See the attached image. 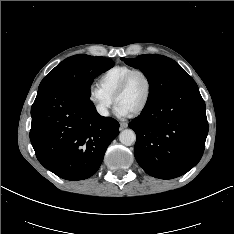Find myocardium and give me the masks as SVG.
Returning a JSON list of instances; mask_svg holds the SVG:
<instances>
[{"instance_id": "f54148a6", "label": "myocardium", "mask_w": 234, "mask_h": 234, "mask_svg": "<svg viewBox=\"0 0 234 234\" xmlns=\"http://www.w3.org/2000/svg\"><path fill=\"white\" fill-rule=\"evenodd\" d=\"M136 74H142L145 77V79L147 81V93H146V97H145L143 103L140 105V107L137 108L134 112L130 113L131 116L140 115L148 107V105L151 101L152 93H153V82H152L150 75L146 71H144L142 69H134L131 72H129L125 76V78L122 80L120 85L117 87V89L115 90V92L113 94V98H112L114 104H116L117 98L126 91L131 79Z\"/></svg>"}]
</instances>
